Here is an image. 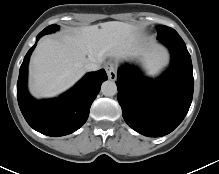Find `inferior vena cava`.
<instances>
[{
  "mask_svg": "<svg viewBox=\"0 0 219 174\" xmlns=\"http://www.w3.org/2000/svg\"><path fill=\"white\" fill-rule=\"evenodd\" d=\"M84 69H85V71H88V72L96 71L99 69V65L96 63H93V62H89V63L85 64Z\"/></svg>",
  "mask_w": 219,
  "mask_h": 174,
  "instance_id": "inferior-vena-cava-1",
  "label": "inferior vena cava"
}]
</instances>
